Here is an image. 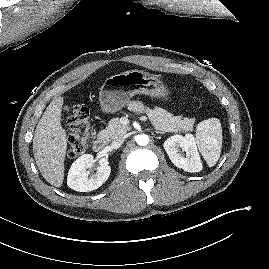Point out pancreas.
Returning <instances> with one entry per match:
<instances>
[{
  "label": "pancreas",
  "instance_id": "1",
  "mask_svg": "<svg viewBox=\"0 0 269 269\" xmlns=\"http://www.w3.org/2000/svg\"><path fill=\"white\" fill-rule=\"evenodd\" d=\"M146 114L153 127L160 132L177 133L193 131L195 122L193 118L173 116L171 113L159 107L147 109ZM128 130L129 127L121 123L119 118H113L109 121L106 129L102 130L98 136L106 141H111L123 136Z\"/></svg>",
  "mask_w": 269,
  "mask_h": 269
}]
</instances>
